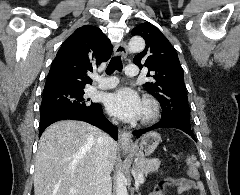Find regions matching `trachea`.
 Masks as SVG:
<instances>
[{
	"mask_svg": "<svg viewBox=\"0 0 240 195\" xmlns=\"http://www.w3.org/2000/svg\"><path fill=\"white\" fill-rule=\"evenodd\" d=\"M122 68L121 56H115L110 60L109 65L106 68V73L107 75H111L115 70H118L119 72L122 71Z\"/></svg>",
	"mask_w": 240,
	"mask_h": 195,
	"instance_id": "trachea-1",
	"label": "trachea"
}]
</instances>
